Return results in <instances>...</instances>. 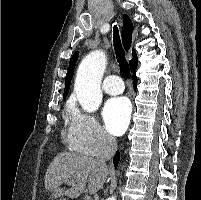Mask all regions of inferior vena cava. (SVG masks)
<instances>
[{"instance_id": "inferior-vena-cava-1", "label": "inferior vena cava", "mask_w": 201, "mask_h": 200, "mask_svg": "<svg viewBox=\"0 0 201 200\" xmlns=\"http://www.w3.org/2000/svg\"><path fill=\"white\" fill-rule=\"evenodd\" d=\"M117 141L111 135L105 134L103 137V146L102 151L99 157L97 158L98 163L102 167H106V161L110 160L114 153L117 150Z\"/></svg>"}]
</instances>
